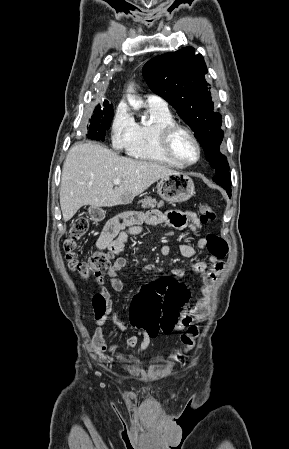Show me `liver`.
<instances>
[{"instance_id": "obj_1", "label": "liver", "mask_w": 289, "mask_h": 449, "mask_svg": "<svg viewBox=\"0 0 289 449\" xmlns=\"http://www.w3.org/2000/svg\"><path fill=\"white\" fill-rule=\"evenodd\" d=\"M164 165L118 155L95 143L72 146L64 161L60 206L65 222L84 205H126L159 179L177 174ZM123 182L114 187V179Z\"/></svg>"}]
</instances>
